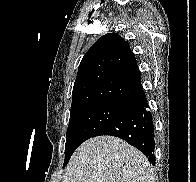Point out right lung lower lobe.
<instances>
[{"mask_svg":"<svg viewBox=\"0 0 196 182\" xmlns=\"http://www.w3.org/2000/svg\"><path fill=\"white\" fill-rule=\"evenodd\" d=\"M145 97L129 111L102 127L93 137L110 135L125 140L139 149L155 165L154 123Z\"/></svg>","mask_w":196,"mask_h":182,"instance_id":"right-lung-lower-lobe-1","label":"right lung lower lobe"}]
</instances>
